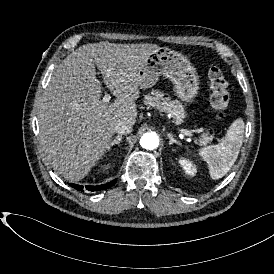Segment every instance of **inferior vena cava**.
Returning <instances> with one entry per match:
<instances>
[{"label":"inferior vena cava","mask_w":274,"mask_h":274,"mask_svg":"<svg viewBox=\"0 0 274 274\" xmlns=\"http://www.w3.org/2000/svg\"><path fill=\"white\" fill-rule=\"evenodd\" d=\"M114 130L118 135L128 134L133 130V124L130 121H121L115 125Z\"/></svg>","instance_id":"1"}]
</instances>
